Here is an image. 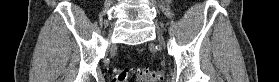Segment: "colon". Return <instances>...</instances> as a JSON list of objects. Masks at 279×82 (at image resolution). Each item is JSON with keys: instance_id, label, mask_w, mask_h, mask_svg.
Masks as SVG:
<instances>
[{"instance_id": "5ec220e1", "label": "colon", "mask_w": 279, "mask_h": 82, "mask_svg": "<svg viewBox=\"0 0 279 82\" xmlns=\"http://www.w3.org/2000/svg\"><path fill=\"white\" fill-rule=\"evenodd\" d=\"M140 81L143 82H158L161 79L162 71L160 69L140 68L137 70ZM114 82H127L129 79V71L126 69L114 70L112 74Z\"/></svg>"}]
</instances>
